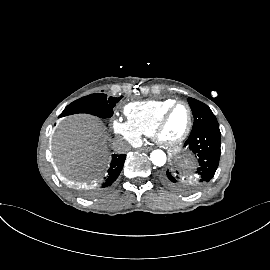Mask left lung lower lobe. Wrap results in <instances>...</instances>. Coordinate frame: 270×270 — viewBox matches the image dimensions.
<instances>
[{"label":"left lung lower lobe","instance_id":"left-lung-lower-lobe-1","mask_svg":"<svg viewBox=\"0 0 270 270\" xmlns=\"http://www.w3.org/2000/svg\"><path fill=\"white\" fill-rule=\"evenodd\" d=\"M195 157V171L189 179H181L178 171L167 170L164 182L172 189L189 193L208 183L214 176L220 159L221 133L218 126H205L191 132L184 147Z\"/></svg>","mask_w":270,"mask_h":270}]
</instances>
